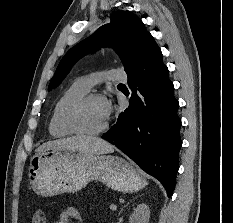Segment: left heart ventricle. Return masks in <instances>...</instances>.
<instances>
[{
    "label": "left heart ventricle",
    "instance_id": "1",
    "mask_svg": "<svg viewBox=\"0 0 233 223\" xmlns=\"http://www.w3.org/2000/svg\"><path fill=\"white\" fill-rule=\"evenodd\" d=\"M105 123L101 112V98L89 101L79 112L78 125L85 131H97Z\"/></svg>",
    "mask_w": 233,
    "mask_h": 223
}]
</instances>
